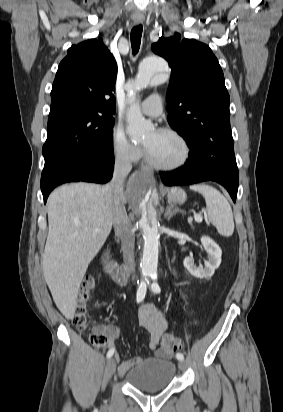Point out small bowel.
<instances>
[{
  "instance_id": "small-bowel-1",
  "label": "small bowel",
  "mask_w": 283,
  "mask_h": 412,
  "mask_svg": "<svg viewBox=\"0 0 283 412\" xmlns=\"http://www.w3.org/2000/svg\"><path fill=\"white\" fill-rule=\"evenodd\" d=\"M138 319L140 325L146 329L150 334V340L148 347L151 351H154L157 356H167L161 350L158 349L159 341L164 334L168 326V320L166 314L157 309L151 303H143L138 310ZM100 329L108 337V346L114 348L116 340L121 336V329L115 325L106 324L102 325ZM119 361V357L116 356ZM143 357H135L126 361H121L119 364V374L123 376L129 369L135 367L143 361Z\"/></svg>"
}]
</instances>
